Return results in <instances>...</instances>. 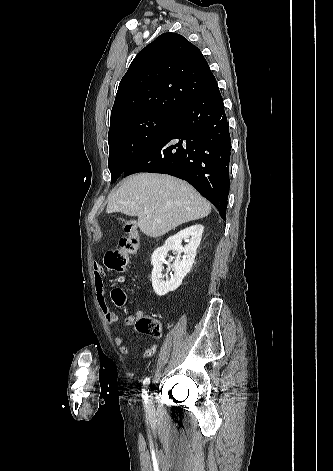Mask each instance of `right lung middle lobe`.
<instances>
[{"mask_svg": "<svg viewBox=\"0 0 333 471\" xmlns=\"http://www.w3.org/2000/svg\"><path fill=\"white\" fill-rule=\"evenodd\" d=\"M174 113L144 111L110 123L108 134L111 183L173 122Z\"/></svg>", "mask_w": 333, "mask_h": 471, "instance_id": "obj_1", "label": "right lung middle lobe"}]
</instances>
